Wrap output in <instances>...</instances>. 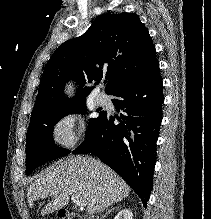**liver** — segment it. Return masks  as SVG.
Instances as JSON below:
<instances>
[{
	"label": "liver",
	"instance_id": "6515ba94",
	"mask_svg": "<svg viewBox=\"0 0 211 219\" xmlns=\"http://www.w3.org/2000/svg\"><path fill=\"white\" fill-rule=\"evenodd\" d=\"M130 191L128 184L101 161L77 156L41 173L30 184L27 199L32 208L34 202L51 197L41 211L44 216L65 207L71 195H78L91 215L122 201Z\"/></svg>",
	"mask_w": 211,
	"mask_h": 219
}]
</instances>
